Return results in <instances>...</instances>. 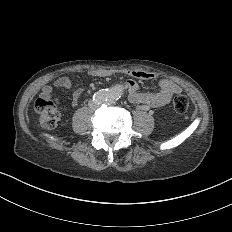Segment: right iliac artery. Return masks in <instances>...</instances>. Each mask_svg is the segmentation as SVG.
<instances>
[{
  "mask_svg": "<svg viewBox=\"0 0 232 232\" xmlns=\"http://www.w3.org/2000/svg\"><path fill=\"white\" fill-rule=\"evenodd\" d=\"M92 100L97 104H101L105 101V95L103 92H96L92 95Z\"/></svg>",
  "mask_w": 232,
  "mask_h": 232,
  "instance_id": "right-iliac-artery-1",
  "label": "right iliac artery"
}]
</instances>
